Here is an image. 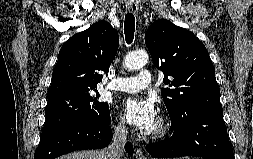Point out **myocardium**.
I'll return each mask as SVG.
<instances>
[{"mask_svg":"<svg viewBox=\"0 0 253 159\" xmlns=\"http://www.w3.org/2000/svg\"><path fill=\"white\" fill-rule=\"evenodd\" d=\"M170 130V125L164 117H160L157 120L155 128L151 131L150 136L154 139H160L164 137Z\"/></svg>","mask_w":253,"mask_h":159,"instance_id":"f54148a6","label":"myocardium"}]
</instances>
